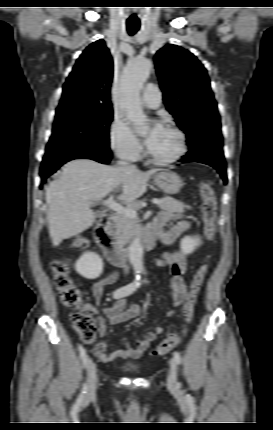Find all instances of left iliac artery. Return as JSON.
Here are the masks:
<instances>
[{"mask_svg": "<svg viewBox=\"0 0 273 430\" xmlns=\"http://www.w3.org/2000/svg\"><path fill=\"white\" fill-rule=\"evenodd\" d=\"M174 356V360L176 361L177 364H180L182 362V356L180 355L179 352L175 351L173 353Z\"/></svg>", "mask_w": 273, "mask_h": 430, "instance_id": "44dca946", "label": "left iliac artery"}]
</instances>
